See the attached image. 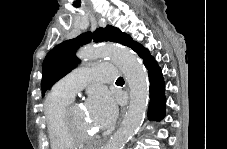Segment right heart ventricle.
I'll use <instances>...</instances> for the list:
<instances>
[{
	"mask_svg": "<svg viewBox=\"0 0 227 149\" xmlns=\"http://www.w3.org/2000/svg\"><path fill=\"white\" fill-rule=\"evenodd\" d=\"M73 98L53 89L44 102V114L52 149H71L78 143L66 132L63 122L65 108Z\"/></svg>",
	"mask_w": 227,
	"mask_h": 149,
	"instance_id": "right-heart-ventricle-1",
	"label": "right heart ventricle"
}]
</instances>
